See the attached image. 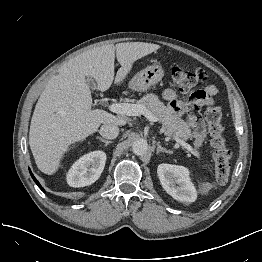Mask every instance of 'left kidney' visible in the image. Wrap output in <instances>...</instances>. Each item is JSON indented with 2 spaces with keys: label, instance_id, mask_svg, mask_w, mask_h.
Listing matches in <instances>:
<instances>
[{
  "label": "left kidney",
  "instance_id": "5707ae66",
  "mask_svg": "<svg viewBox=\"0 0 262 262\" xmlns=\"http://www.w3.org/2000/svg\"><path fill=\"white\" fill-rule=\"evenodd\" d=\"M157 174L164 190L175 200L187 203L196 200L197 192L188 169L178 165L160 164Z\"/></svg>",
  "mask_w": 262,
  "mask_h": 262
}]
</instances>
